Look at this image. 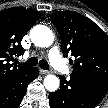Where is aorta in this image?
I'll return each instance as SVG.
<instances>
[{
  "mask_svg": "<svg viewBox=\"0 0 108 108\" xmlns=\"http://www.w3.org/2000/svg\"><path fill=\"white\" fill-rule=\"evenodd\" d=\"M31 41L39 47H49L53 44L54 35L51 29L45 25H36L30 31ZM44 86L50 91L54 92L59 88L60 81L55 75H47L44 78Z\"/></svg>",
  "mask_w": 108,
  "mask_h": 108,
  "instance_id": "aorta-1",
  "label": "aorta"
}]
</instances>
